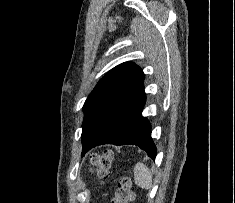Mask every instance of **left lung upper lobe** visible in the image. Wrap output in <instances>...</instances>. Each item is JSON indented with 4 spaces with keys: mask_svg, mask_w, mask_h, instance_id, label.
<instances>
[{
    "mask_svg": "<svg viewBox=\"0 0 235 203\" xmlns=\"http://www.w3.org/2000/svg\"><path fill=\"white\" fill-rule=\"evenodd\" d=\"M143 81L142 69L135 63L125 62L110 70L97 83L83 106L82 156Z\"/></svg>",
    "mask_w": 235,
    "mask_h": 203,
    "instance_id": "obj_1",
    "label": "left lung upper lobe"
}]
</instances>
